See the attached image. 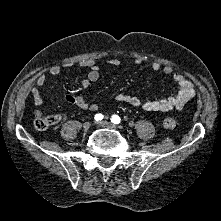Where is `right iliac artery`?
Listing matches in <instances>:
<instances>
[{
  "instance_id": "82829eb1",
  "label": "right iliac artery",
  "mask_w": 221,
  "mask_h": 221,
  "mask_svg": "<svg viewBox=\"0 0 221 221\" xmlns=\"http://www.w3.org/2000/svg\"><path fill=\"white\" fill-rule=\"evenodd\" d=\"M103 118H104V116L102 114H96L95 117H94V119L96 121H101Z\"/></svg>"
}]
</instances>
